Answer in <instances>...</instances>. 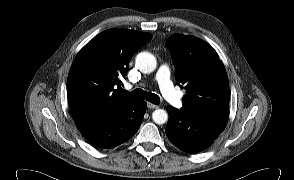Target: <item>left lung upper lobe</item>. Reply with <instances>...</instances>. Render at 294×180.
<instances>
[{
  "label": "left lung upper lobe",
  "mask_w": 294,
  "mask_h": 180,
  "mask_svg": "<svg viewBox=\"0 0 294 180\" xmlns=\"http://www.w3.org/2000/svg\"><path fill=\"white\" fill-rule=\"evenodd\" d=\"M165 46L173 57L176 80L187 91L181 111L195 116L227 117L229 82L213 47L195 36L182 34L171 35Z\"/></svg>",
  "instance_id": "obj_1"
}]
</instances>
